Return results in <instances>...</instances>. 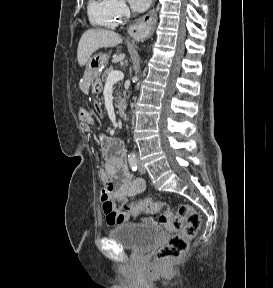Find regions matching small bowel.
I'll use <instances>...</instances> for the list:
<instances>
[{
	"label": "small bowel",
	"mask_w": 273,
	"mask_h": 288,
	"mask_svg": "<svg viewBox=\"0 0 273 288\" xmlns=\"http://www.w3.org/2000/svg\"><path fill=\"white\" fill-rule=\"evenodd\" d=\"M79 119L81 130L90 132L94 124L92 115L87 111H81ZM100 147L104 158L100 177L105 184L100 192V200L107 223L115 226L127 222L131 216L140 213L127 212L125 208L129 198L144 192L145 182L140 178H133L130 174L125 149L119 139L102 135Z\"/></svg>",
	"instance_id": "small-bowel-1"
}]
</instances>
